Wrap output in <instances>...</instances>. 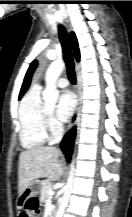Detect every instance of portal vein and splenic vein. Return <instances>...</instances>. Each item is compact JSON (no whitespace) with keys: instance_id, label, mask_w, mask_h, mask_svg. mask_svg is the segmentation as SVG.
I'll return each mask as SVG.
<instances>
[{"instance_id":"1","label":"portal vein and splenic vein","mask_w":132,"mask_h":217,"mask_svg":"<svg viewBox=\"0 0 132 217\" xmlns=\"http://www.w3.org/2000/svg\"><path fill=\"white\" fill-rule=\"evenodd\" d=\"M48 194H49L50 197H52L54 195V191L50 190Z\"/></svg>"}]
</instances>
